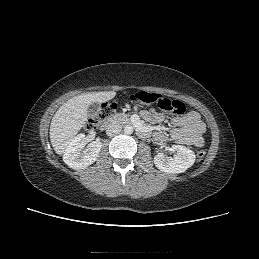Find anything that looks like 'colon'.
<instances>
[{"label": "colon", "mask_w": 259, "mask_h": 259, "mask_svg": "<svg viewBox=\"0 0 259 259\" xmlns=\"http://www.w3.org/2000/svg\"><path fill=\"white\" fill-rule=\"evenodd\" d=\"M131 101L139 104H155L160 109L176 114L182 115L186 111V106L179 100L169 99L161 94L139 91L130 96ZM117 109L116 101L106 102L101 105L98 114L89 120L88 128H95L105 119L111 117ZM206 155L205 150H199L197 152L198 159H203Z\"/></svg>", "instance_id": "5ec220e1"}]
</instances>
